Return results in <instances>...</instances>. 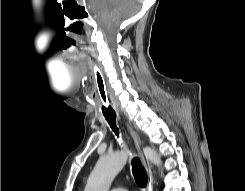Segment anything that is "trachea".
I'll list each match as a JSON object with an SVG mask.
<instances>
[{
  "mask_svg": "<svg viewBox=\"0 0 245 191\" xmlns=\"http://www.w3.org/2000/svg\"><path fill=\"white\" fill-rule=\"evenodd\" d=\"M93 67L96 69V85H97V91L101 100V110L102 113L107 120L108 124L110 125L112 131L115 133L117 138H120V131L117 127L116 122V112L113 109L111 102L108 98L107 88L106 84L103 78V75L99 71V69L96 67L95 63L92 61ZM132 173L135 178L136 183L140 187H145L148 181L147 172L144 169V167L141 165V162L138 158H134L132 160Z\"/></svg>",
  "mask_w": 245,
  "mask_h": 191,
  "instance_id": "obj_1",
  "label": "trachea"
}]
</instances>
